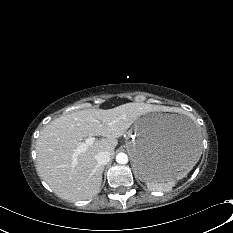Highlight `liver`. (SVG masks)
<instances>
[{"mask_svg":"<svg viewBox=\"0 0 233 233\" xmlns=\"http://www.w3.org/2000/svg\"><path fill=\"white\" fill-rule=\"evenodd\" d=\"M145 103H126L112 109H86L61 116L47 124L36 142L38 175L61 199L86 200L100 191L103 166L95 155H111L121 137L142 115L162 111ZM102 136L76 158L73 154L86 137Z\"/></svg>","mask_w":233,"mask_h":233,"instance_id":"6515ba94","label":"liver"}]
</instances>
